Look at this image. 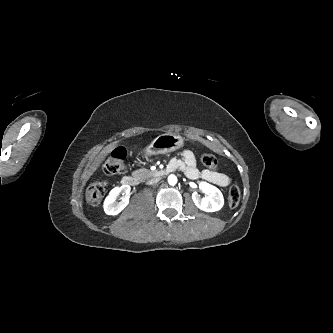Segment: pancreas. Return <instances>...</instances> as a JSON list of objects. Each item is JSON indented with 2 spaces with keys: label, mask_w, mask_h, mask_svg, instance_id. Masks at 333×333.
Instances as JSON below:
<instances>
[{
  "label": "pancreas",
  "mask_w": 333,
  "mask_h": 333,
  "mask_svg": "<svg viewBox=\"0 0 333 333\" xmlns=\"http://www.w3.org/2000/svg\"><path fill=\"white\" fill-rule=\"evenodd\" d=\"M153 175L152 171H149L147 169H139L132 173V176L137 179L139 182H143L147 178L151 177Z\"/></svg>",
  "instance_id": "pancreas-1"
}]
</instances>
